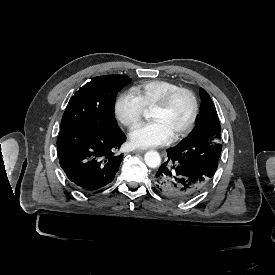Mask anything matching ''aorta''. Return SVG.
Returning <instances> with one entry per match:
<instances>
[{"mask_svg":"<svg viewBox=\"0 0 275 275\" xmlns=\"http://www.w3.org/2000/svg\"><path fill=\"white\" fill-rule=\"evenodd\" d=\"M144 161L148 167L157 168L161 164V157L158 152L149 151L144 155Z\"/></svg>","mask_w":275,"mask_h":275,"instance_id":"aorta-1","label":"aorta"}]
</instances>
